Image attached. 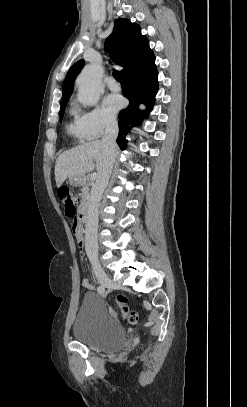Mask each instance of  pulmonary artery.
Here are the masks:
<instances>
[{"instance_id": "obj_1", "label": "pulmonary artery", "mask_w": 247, "mask_h": 407, "mask_svg": "<svg viewBox=\"0 0 247 407\" xmlns=\"http://www.w3.org/2000/svg\"><path fill=\"white\" fill-rule=\"evenodd\" d=\"M107 86L112 91H119L120 90V85L114 79L108 80Z\"/></svg>"}]
</instances>
